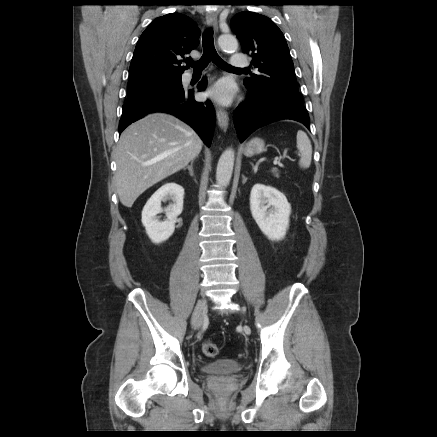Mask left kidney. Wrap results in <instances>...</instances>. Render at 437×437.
I'll list each match as a JSON object with an SVG mask.
<instances>
[{
    "label": "left kidney",
    "instance_id": "1",
    "mask_svg": "<svg viewBox=\"0 0 437 437\" xmlns=\"http://www.w3.org/2000/svg\"><path fill=\"white\" fill-rule=\"evenodd\" d=\"M250 210L260 230L270 240H282L289 227L291 205L276 188L257 183L250 194Z\"/></svg>",
    "mask_w": 437,
    "mask_h": 437
}]
</instances>
